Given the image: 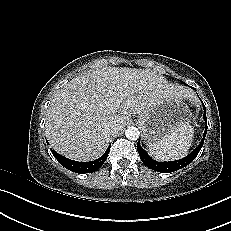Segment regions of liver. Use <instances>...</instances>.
<instances>
[{"instance_id": "1", "label": "liver", "mask_w": 231, "mask_h": 231, "mask_svg": "<svg viewBox=\"0 0 231 231\" xmlns=\"http://www.w3.org/2000/svg\"><path fill=\"white\" fill-rule=\"evenodd\" d=\"M189 91L168 84L149 69L103 67L73 78L60 88L47 110L45 133L63 156L92 161L106 150L131 114H142L165 98H186Z\"/></svg>"}]
</instances>
